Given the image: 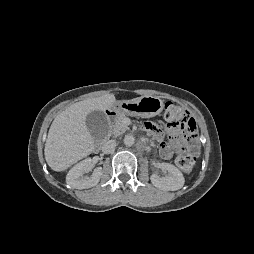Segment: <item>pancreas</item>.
<instances>
[{
  "label": "pancreas",
  "mask_w": 254,
  "mask_h": 254,
  "mask_svg": "<svg viewBox=\"0 0 254 254\" xmlns=\"http://www.w3.org/2000/svg\"><path fill=\"white\" fill-rule=\"evenodd\" d=\"M125 119H126L125 115H119L115 120V122L113 123L111 133L114 136L117 137L129 129L128 126L124 123Z\"/></svg>",
  "instance_id": "cf45deb5"
}]
</instances>
